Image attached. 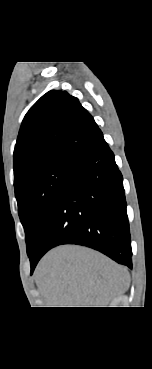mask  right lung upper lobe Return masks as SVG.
Listing matches in <instances>:
<instances>
[{"instance_id":"obj_1","label":"right lung upper lobe","mask_w":152,"mask_h":369,"mask_svg":"<svg viewBox=\"0 0 152 369\" xmlns=\"http://www.w3.org/2000/svg\"><path fill=\"white\" fill-rule=\"evenodd\" d=\"M103 136L93 117L66 91L44 94L27 112L14 149V185L58 161L74 162Z\"/></svg>"}]
</instances>
